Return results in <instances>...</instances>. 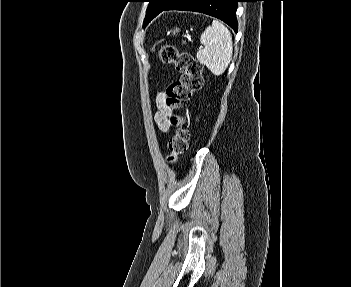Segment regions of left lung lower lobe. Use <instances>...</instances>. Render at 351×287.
<instances>
[{
	"label": "left lung lower lobe",
	"mask_w": 351,
	"mask_h": 287,
	"mask_svg": "<svg viewBox=\"0 0 351 287\" xmlns=\"http://www.w3.org/2000/svg\"><path fill=\"white\" fill-rule=\"evenodd\" d=\"M237 2H240V0H173L162 11L184 10L201 12L224 21L237 32Z\"/></svg>",
	"instance_id": "left-lung-lower-lobe-1"
}]
</instances>
